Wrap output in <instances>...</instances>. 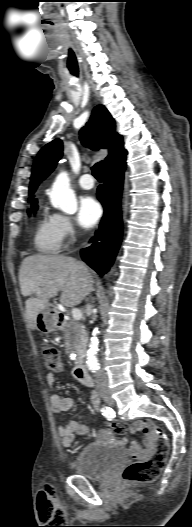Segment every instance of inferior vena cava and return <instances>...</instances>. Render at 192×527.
<instances>
[{
	"instance_id": "obj_1",
	"label": "inferior vena cava",
	"mask_w": 192,
	"mask_h": 527,
	"mask_svg": "<svg viewBox=\"0 0 192 527\" xmlns=\"http://www.w3.org/2000/svg\"><path fill=\"white\" fill-rule=\"evenodd\" d=\"M88 309L91 308L90 304H87L86 306ZM108 382L107 375L103 369H100L97 373V386H106Z\"/></svg>"
}]
</instances>
